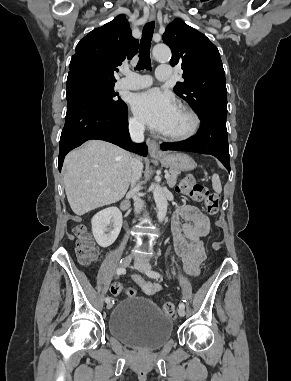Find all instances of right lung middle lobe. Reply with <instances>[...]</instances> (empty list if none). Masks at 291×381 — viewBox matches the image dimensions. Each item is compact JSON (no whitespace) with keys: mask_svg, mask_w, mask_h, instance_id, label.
Segmentation results:
<instances>
[{"mask_svg":"<svg viewBox=\"0 0 291 381\" xmlns=\"http://www.w3.org/2000/svg\"><path fill=\"white\" fill-rule=\"evenodd\" d=\"M71 87L86 90L109 109H118L126 105L121 99L116 98L118 94L113 90L114 83H102L88 78L73 77L67 79V89Z\"/></svg>","mask_w":291,"mask_h":381,"instance_id":"right-lung-middle-lobe-1","label":"right lung middle lobe"}]
</instances>
